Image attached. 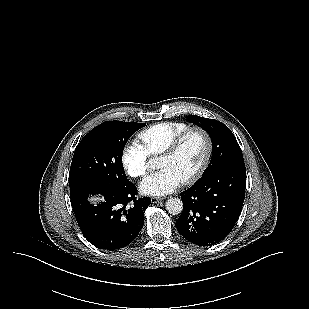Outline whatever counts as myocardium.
I'll return each mask as SVG.
<instances>
[{
	"label": "myocardium",
	"mask_w": 309,
	"mask_h": 309,
	"mask_svg": "<svg viewBox=\"0 0 309 309\" xmlns=\"http://www.w3.org/2000/svg\"><path fill=\"white\" fill-rule=\"evenodd\" d=\"M200 133L202 137L204 138L205 145H206V152L204 159L199 166V168L189 177L183 180L184 184H191L195 181H197L205 172L207 169L211 157H212V152H213V144H212V139L209 133L203 129L202 127L199 126H194V127H189L185 131H183L181 134H179L171 143L170 145L162 152V156H174L179 149L181 148L182 144L184 141L187 139V137L194 133Z\"/></svg>",
	"instance_id": "1"
}]
</instances>
